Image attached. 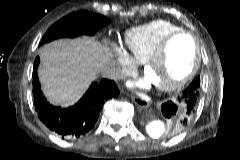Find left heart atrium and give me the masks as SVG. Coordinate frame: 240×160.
Masks as SVG:
<instances>
[{"instance_id":"left-heart-atrium-1","label":"left heart atrium","mask_w":240,"mask_h":160,"mask_svg":"<svg viewBox=\"0 0 240 160\" xmlns=\"http://www.w3.org/2000/svg\"><path fill=\"white\" fill-rule=\"evenodd\" d=\"M151 81L148 78H145L144 80L140 81L136 86L140 88H148L151 85Z\"/></svg>"}]
</instances>
